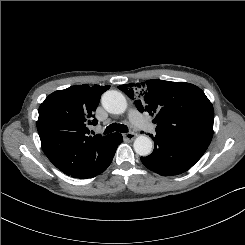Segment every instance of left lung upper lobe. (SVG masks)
Listing matches in <instances>:
<instances>
[{
  "instance_id": "5c2ea615",
  "label": "left lung upper lobe",
  "mask_w": 245,
  "mask_h": 245,
  "mask_svg": "<svg viewBox=\"0 0 245 245\" xmlns=\"http://www.w3.org/2000/svg\"><path fill=\"white\" fill-rule=\"evenodd\" d=\"M118 88L134 99L140 112L156 115V133L189 137L210 144L213 136L214 110L204 92L185 82L158 79ZM135 90H140L135 95Z\"/></svg>"
}]
</instances>
